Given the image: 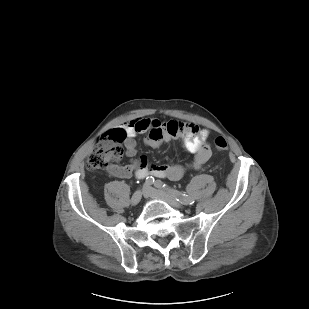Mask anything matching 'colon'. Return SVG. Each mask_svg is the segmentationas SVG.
I'll return each mask as SVG.
<instances>
[{"mask_svg": "<svg viewBox=\"0 0 309 309\" xmlns=\"http://www.w3.org/2000/svg\"><path fill=\"white\" fill-rule=\"evenodd\" d=\"M123 140L124 134L120 131H113L99 139L89 153L87 159L88 169L107 170L112 168L113 163L120 160L124 154L121 145ZM215 145L220 151L228 148V143L223 137H217Z\"/></svg>", "mask_w": 309, "mask_h": 309, "instance_id": "colon-1", "label": "colon"}]
</instances>
